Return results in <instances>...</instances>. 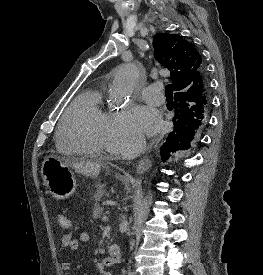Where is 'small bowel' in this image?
Returning <instances> with one entry per match:
<instances>
[{"instance_id": "obj_1", "label": "small bowel", "mask_w": 263, "mask_h": 275, "mask_svg": "<svg viewBox=\"0 0 263 275\" xmlns=\"http://www.w3.org/2000/svg\"><path fill=\"white\" fill-rule=\"evenodd\" d=\"M90 241V236L87 232H80L77 238H73L71 235H65L62 238V249L69 250L71 252H75L78 250L81 244H86ZM61 268L65 275H70V263L63 262L61 264ZM100 273L102 275H112L111 272L105 270L104 268H100Z\"/></svg>"}]
</instances>
